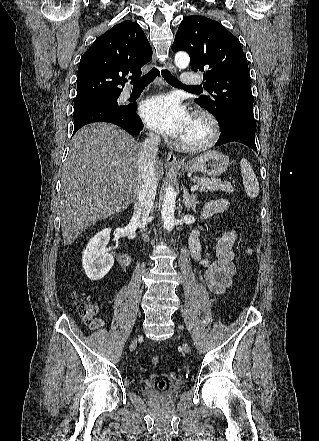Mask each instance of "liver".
<instances>
[{
  "mask_svg": "<svg viewBox=\"0 0 319 441\" xmlns=\"http://www.w3.org/2000/svg\"><path fill=\"white\" fill-rule=\"evenodd\" d=\"M140 144L120 127L85 125L73 136L61 168V228L72 244L90 225L128 208L139 191ZM155 173L162 179L163 163ZM118 177L123 182L117 181Z\"/></svg>",
  "mask_w": 319,
  "mask_h": 441,
  "instance_id": "obj_1",
  "label": "liver"
}]
</instances>
